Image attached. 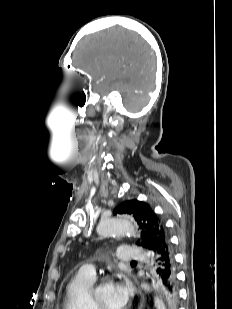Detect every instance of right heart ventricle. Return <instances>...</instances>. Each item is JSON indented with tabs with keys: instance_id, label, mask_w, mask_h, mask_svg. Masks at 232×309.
Masks as SVG:
<instances>
[{
	"instance_id": "1",
	"label": "right heart ventricle",
	"mask_w": 232,
	"mask_h": 309,
	"mask_svg": "<svg viewBox=\"0 0 232 309\" xmlns=\"http://www.w3.org/2000/svg\"><path fill=\"white\" fill-rule=\"evenodd\" d=\"M94 281L95 277L78 272L66 287L64 309H93L90 290Z\"/></svg>"
}]
</instances>
